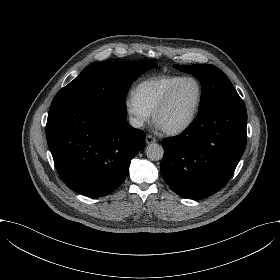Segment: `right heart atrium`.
Instances as JSON below:
<instances>
[{"label": "right heart atrium", "mask_w": 280, "mask_h": 280, "mask_svg": "<svg viewBox=\"0 0 280 280\" xmlns=\"http://www.w3.org/2000/svg\"><path fill=\"white\" fill-rule=\"evenodd\" d=\"M125 110L138 126L147 123L151 118V112L138 101L134 93L127 96L125 100Z\"/></svg>", "instance_id": "1"}]
</instances>
